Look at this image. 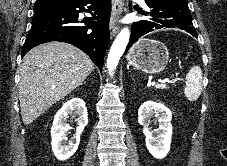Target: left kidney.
<instances>
[{"label": "left kidney", "mask_w": 227, "mask_h": 166, "mask_svg": "<svg viewBox=\"0 0 227 166\" xmlns=\"http://www.w3.org/2000/svg\"><path fill=\"white\" fill-rule=\"evenodd\" d=\"M158 118L159 128L151 131L149 128L150 118ZM172 114L171 111L162 103L154 101L144 102L138 111V122L143 125L146 147L150 154L156 159H162L170 151L172 140Z\"/></svg>", "instance_id": "left-kidney-1"}]
</instances>
